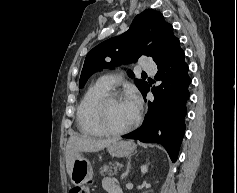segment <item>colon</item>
I'll use <instances>...</instances> for the list:
<instances>
[{"instance_id":"obj_1","label":"colon","mask_w":237,"mask_h":193,"mask_svg":"<svg viewBox=\"0 0 237 193\" xmlns=\"http://www.w3.org/2000/svg\"><path fill=\"white\" fill-rule=\"evenodd\" d=\"M89 192H90L89 184L74 185L69 191V193H89Z\"/></svg>"}]
</instances>
